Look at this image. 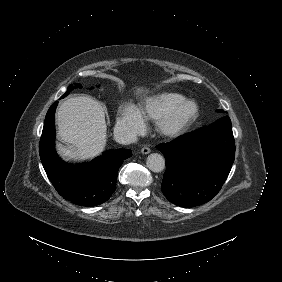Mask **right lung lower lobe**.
I'll list each match as a JSON object with an SVG mask.
<instances>
[{
    "instance_id": "1",
    "label": "right lung lower lobe",
    "mask_w": 282,
    "mask_h": 282,
    "mask_svg": "<svg viewBox=\"0 0 282 282\" xmlns=\"http://www.w3.org/2000/svg\"><path fill=\"white\" fill-rule=\"evenodd\" d=\"M57 104L56 101L47 112L39 143V155L47 176L64 199L86 207L102 204L115 191L118 169L132 152L128 149L108 150L89 163L72 165L63 162L54 149Z\"/></svg>"
}]
</instances>
